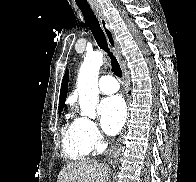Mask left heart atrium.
<instances>
[{
  "instance_id": "obj_1",
  "label": "left heart atrium",
  "mask_w": 196,
  "mask_h": 182,
  "mask_svg": "<svg viewBox=\"0 0 196 182\" xmlns=\"http://www.w3.org/2000/svg\"><path fill=\"white\" fill-rule=\"evenodd\" d=\"M103 130L114 135L120 131L126 119V106L120 96L104 98L99 105Z\"/></svg>"
}]
</instances>
